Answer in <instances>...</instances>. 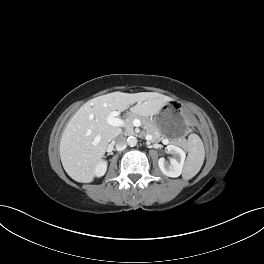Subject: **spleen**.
<instances>
[{
	"label": "spleen",
	"instance_id": "1",
	"mask_svg": "<svg viewBox=\"0 0 264 264\" xmlns=\"http://www.w3.org/2000/svg\"><path fill=\"white\" fill-rule=\"evenodd\" d=\"M187 150L189 154L183 171V178L185 180L193 178L200 171L204 162V145L198 135L194 133L189 135L187 140Z\"/></svg>",
	"mask_w": 264,
	"mask_h": 264
}]
</instances>
